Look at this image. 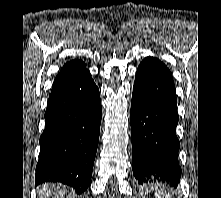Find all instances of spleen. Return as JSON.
Here are the masks:
<instances>
[{
  "label": "spleen",
  "mask_w": 221,
  "mask_h": 198,
  "mask_svg": "<svg viewBox=\"0 0 221 198\" xmlns=\"http://www.w3.org/2000/svg\"><path fill=\"white\" fill-rule=\"evenodd\" d=\"M156 198H171L169 194H164V192H156Z\"/></svg>",
  "instance_id": "3e777b00"
}]
</instances>
